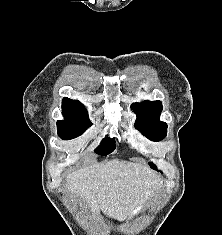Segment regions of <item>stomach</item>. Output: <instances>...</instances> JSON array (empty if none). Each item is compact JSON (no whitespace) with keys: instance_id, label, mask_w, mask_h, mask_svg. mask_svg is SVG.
Returning <instances> with one entry per match:
<instances>
[{"instance_id":"0dacf381","label":"stomach","mask_w":222,"mask_h":235,"mask_svg":"<svg viewBox=\"0 0 222 235\" xmlns=\"http://www.w3.org/2000/svg\"><path fill=\"white\" fill-rule=\"evenodd\" d=\"M158 190V187L153 190V192L149 195V198L152 197L155 192ZM145 201L141 202L138 206H136L133 211L131 212V217L137 215L144 207Z\"/></svg>"}]
</instances>
